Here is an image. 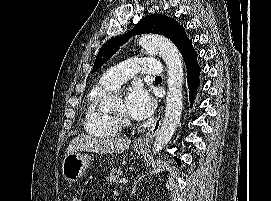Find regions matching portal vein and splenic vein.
<instances>
[{"label": "portal vein and splenic vein", "mask_w": 271, "mask_h": 201, "mask_svg": "<svg viewBox=\"0 0 271 201\" xmlns=\"http://www.w3.org/2000/svg\"><path fill=\"white\" fill-rule=\"evenodd\" d=\"M127 182H128L127 179H120V180H119V183H124V184H125V183H127Z\"/></svg>", "instance_id": "portal-vein-and-splenic-vein-1"}]
</instances>
